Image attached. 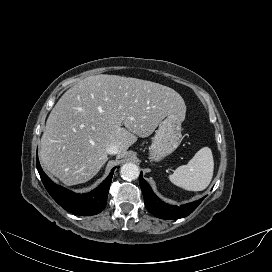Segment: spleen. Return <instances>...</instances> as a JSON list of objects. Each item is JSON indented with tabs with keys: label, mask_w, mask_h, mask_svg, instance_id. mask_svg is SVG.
I'll return each mask as SVG.
<instances>
[{
	"label": "spleen",
	"mask_w": 272,
	"mask_h": 272,
	"mask_svg": "<svg viewBox=\"0 0 272 272\" xmlns=\"http://www.w3.org/2000/svg\"><path fill=\"white\" fill-rule=\"evenodd\" d=\"M214 171V160L209 147L201 148L187 165L179 166L169 176L170 181L188 191H202L210 184Z\"/></svg>",
	"instance_id": "1"
}]
</instances>
